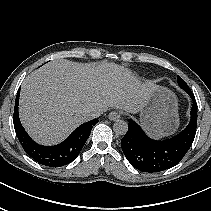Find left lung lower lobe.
<instances>
[{"instance_id": "left-lung-lower-lobe-1", "label": "left lung lower lobe", "mask_w": 211, "mask_h": 211, "mask_svg": "<svg viewBox=\"0 0 211 211\" xmlns=\"http://www.w3.org/2000/svg\"><path fill=\"white\" fill-rule=\"evenodd\" d=\"M193 101L188 126L175 137L156 141L149 138L132 119L121 140L123 153L130 164L143 172H160L177 165L191 147L197 127V104L189 87H183Z\"/></svg>"}]
</instances>
